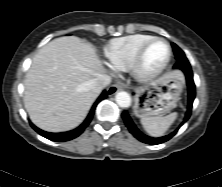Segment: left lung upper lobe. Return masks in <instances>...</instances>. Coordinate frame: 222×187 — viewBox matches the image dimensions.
<instances>
[{
  "label": "left lung upper lobe",
  "instance_id": "left-lung-upper-lobe-1",
  "mask_svg": "<svg viewBox=\"0 0 222 187\" xmlns=\"http://www.w3.org/2000/svg\"><path fill=\"white\" fill-rule=\"evenodd\" d=\"M174 54L177 61H188L184 52L174 43H172Z\"/></svg>",
  "mask_w": 222,
  "mask_h": 187
}]
</instances>
